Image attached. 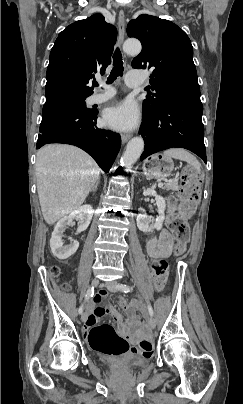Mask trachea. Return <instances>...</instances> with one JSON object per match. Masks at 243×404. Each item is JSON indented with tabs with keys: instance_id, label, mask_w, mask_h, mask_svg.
I'll list each match as a JSON object with an SVG mask.
<instances>
[{
	"instance_id": "obj_1",
	"label": "trachea",
	"mask_w": 243,
	"mask_h": 404,
	"mask_svg": "<svg viewBox=\"0 0 243 404\" xmlns=\"http://www.w3.org/2000/svg\"><path fill=\"white\" fill-rule=\"evenodd\" d=\"M123 59H122V55L121 52L119 50V48H117L113 54V69L110 72V75L107 79V84H111L114 82V80H116L117 77H122L123 76ZM94 87L98 86L97 82L93 83Z\"/></svg>"
}]
</instances>
